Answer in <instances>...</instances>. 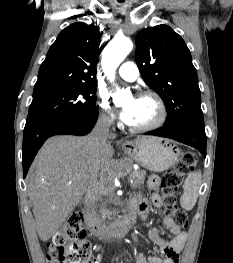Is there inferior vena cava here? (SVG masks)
Returning <instances> with one entry per match:
<instances>
[{
  "label": "inferior vena cava",
  "instance_id": "1",
  "mask_svg": "<svg viewBox=\"0 0 233 263\" xmlns=\"http://www.w3.org/2000/svg\"><path fill=\"white\" fill-rule=\"evenodd\" d=\"M113 123V119L107 115L99 117L93 132L91 134V140L96 153L99 155L107 146V140L109 136V128ZM100 184L92 182L86 193V204L88 207L94 208L96 201L99 199Z\"/></svg>",
  "mask_w": 233,
  "mask_h": 263
}]
</instances>
